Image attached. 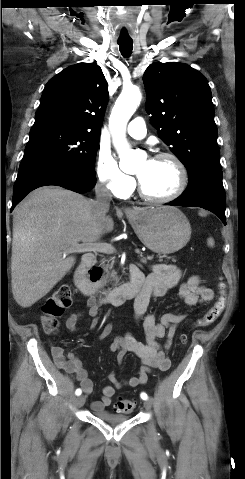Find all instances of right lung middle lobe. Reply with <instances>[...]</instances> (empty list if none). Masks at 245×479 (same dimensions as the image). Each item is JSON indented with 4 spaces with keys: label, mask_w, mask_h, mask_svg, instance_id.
I'll list each match as a JSON object with an SVG mask.
<instances>
[{
    "label": "right lung middle lobe",
    "mask_w": 245,
    "mask_h": 479,
    "mask_svg": "<svg viewBox=\"0 0 245 479\" xmlns=\"http://www.w3.org/2000/svg\"><path fill=\"white\" fill-rule=\"evenodd\" d=\"M99 135L62 126L32 127L19 171L36 165L58 164L95 175Z\"/></svg>",
    "instance_id": "dd1d6c3e"
}]
</instances>
